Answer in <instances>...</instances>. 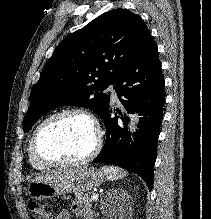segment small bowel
I'll list each match as a JSON object with an SVG mask.
<instances>
[{
  "mask_svg": "<svg viewBox=\"0 0 211 219\" xmlns=\"http://www.w3.org/2000/svg\"><path fill=\"white\" fill-rule=\"evenodd\" d=\"M73 211L80 219H94L93 214L87 209L78 205H73ZM70 213L68 210L61 211L55 219H69Z\"/></svg>",
  "mask_w": 211,
  "mask_h": 219,
  "instance_id": "obj_1",
  "label": "small bowel"
}]
</instances>
